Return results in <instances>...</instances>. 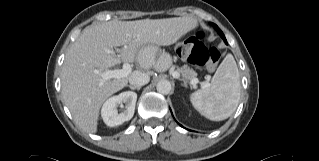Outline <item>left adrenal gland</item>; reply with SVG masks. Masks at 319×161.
Returning a JSON list of instances; mask_svg holds the SVG:
<instances>
[{
	"mask_svg": "<svg viewBox=\"0 0 319 161\" xmlns=\"http://www.w3.org/2000/svg\"><path fill=\"white\" fill-rule=\"evenodd\" d=\"M182 80V79H181ZM183 81V85L184 86H187V82L185 80H182Z\"/></svg>",
	"mask_w": 319,
	"mask_h": 161,
	"instance_id": "left-adrenal-gland-1",
	"label": "left adrenal gland"
}]
</instances>
